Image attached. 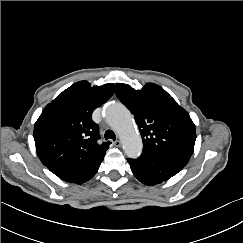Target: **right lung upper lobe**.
<instances>
[{"instance_id": "obj_1", "label": "right lung upper lobe", "mask_w": 243, "mask_h": 243, "mask_svg": "<svg viewBox=\"0 0 243 243\" xmlns=\"http://www.w3.org/2000/svg\"><path fill=\"white\" fill-rule=\"evenodd\" d=\"M115 86L91 87L79 81L59 94L35 123L34 140L41 162L54 174L103 160L111 142L99 145L93 111L113 94Z\"/></svg>"}]
</instances>
